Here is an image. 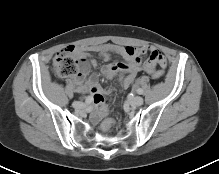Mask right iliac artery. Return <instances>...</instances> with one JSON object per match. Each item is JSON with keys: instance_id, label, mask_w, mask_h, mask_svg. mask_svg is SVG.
<instances>
[{"instance_id": "1", "label": "right iliac artery", "mask_w": 219, "mask_h": 174, "mask_svg": "<svg viewBox=\"0 0 219 174\" xmlns=\"http://www.w3.org/2000/svg\"><path fill=\"white\" fill-rule=\"evenodd\" d=\"M91 98L90 97H86V99H85V103L86 104H90L91 103ZM73 105V104H72Z\"/></svg>"}]
</instances>
